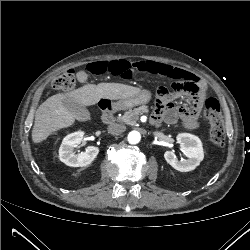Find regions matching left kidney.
<instances>
[{"instance_id":"5707ae66","label":"left kidney","mask_w":250,"mask_h":250,"mask_svg":"<svg viewBox=\"0 0 250 250\" xmlns=\"http://www.w3.org/2000/svg\"><path fill=\"white\" fill-rule=\"evenodd\" d=\"M177 141L180 144L181 151L188 159L178 160L174 151H166L164 153L165 160L180 172L194 170L204 158L201 140L193 134L180 133L177 135Z\"/></svg>"}]
</instances>
